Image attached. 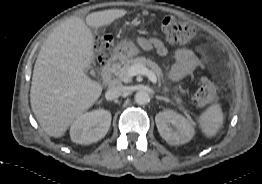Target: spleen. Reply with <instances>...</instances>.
<instances>
[{"label": "spleen", "instance_id": "1", "mask_svg": "<svg viewBox=\"0 0 262 184\" xmlns=\"http://www.w3.org/2000/svg\"><path fill=\"white\" fill-rule=\"evenodd\" d=\"M200 126L207 137L216 135L223 122V112L218 104L210 106L200 117Z\"/></svg>", "mask_w": 262, "mask_h": 184}]
</instances>
